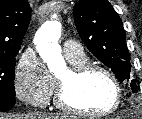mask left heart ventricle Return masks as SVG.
I'll list each match as a JSON object with an SVG mask.
<instances>
[{
	"instance_id": "1",
	"label": "left heart ventricle",
	"mask_w": 142,
	"mask_h": 119,
	"mask_svg": "<svg viewBox=\"0 0 142 119\" xmlns=\"http://www.w3.org/2000/svg\"><path fill=\"white\" fill-rule=\"evenodd\" d=\"M67 72L59 79L67 77ZM115 88L110 79L100 72H92L78 82L72 84L69 90L71 101L84 110L101 112L110 108L115 101Z\"/></svg>"
}]
</instances>
